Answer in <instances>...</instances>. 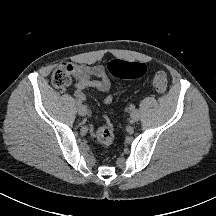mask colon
Wrapping results in <instances>:
<instances>
[{
	"label": "colon",
	"mask_w": 216,
	"mask_h": 216,
	"mask_svg": "<svg viewBox=\"0 0 216 216\" xmlns=\"http://www.w3.org/2000/svg\"><path fill=\"white\" fill-rule=\"evenodd\" d=\"M108 75L114 79H134L141 77L146 66L143 63L127 62L115 59L109 62L107 66ZM51 82L55 87L66 88L70 84V69L66 65L57 67L52 75ZM153 86L159 94H164L167 90V77L162 71L155 73L153 77ZM96 141L103 147L112 145L116 138L115 130L110 121L105 118L103 124L97 129Z\"/></svg>",
	"instance_id": "colon-1"
}]
</instances>
